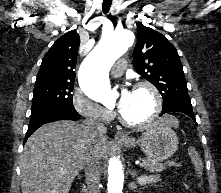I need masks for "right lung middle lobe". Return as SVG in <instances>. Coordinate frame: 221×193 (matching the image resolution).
<instances>
[{"label":"right lung middle lobe","instance_id":"right-lung-middle-lobe-1","mask_svg":"<svg viewBox=\"0 0 221 193\" xmlns=\"http://www.w3.org/2000/svg\"><path fill=\"white\" fill-rule=\"evenodd\" d=\"M74 83L35 84L31 112L50 107L74 109L72 94Z\"/></svg>","mask_w":221,"mask_h":193}]
</instances>
